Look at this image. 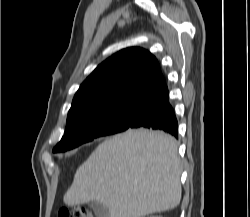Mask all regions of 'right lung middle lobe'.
I'll use <instances>...</instances> for the list:
<instances>
[{
	"mask_svg": "<svg viewBox=\"0 0 250 217\" xmlns=\"http://www.w3.org/2000/svg\"><path fill=\"white\" fill-rule=\"evenodd\" d=\"M139 103L116 105L67 120L65 134L53 152H64L95 138L127 130Z\"/></svg>",
	"mask_w": 250,
	"mask_h": 217,
	"instance_id": "1",
	"label": "right lung middle lobe"
}]
</instances>
